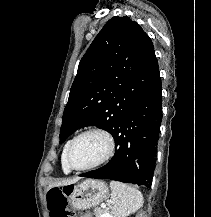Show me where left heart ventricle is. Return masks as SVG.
<instances>
[{
	"mask_svg": "<svg viewBox=\"0 0 211 217\" xmlns=\"http://www.w3.org/2000/svg\"><path fill=\"white\" fill-rule=\"evenodd\" d=\"M108 150L106 138L99 133H88L79 138L71 151V162L76 167L96 163Z\"/></svg>",
	"mask_w": 211,
	"mask_h": 217,
	"instance_id": "left-heart-ventricle-1",
	"label": "left heart ventricle"
}]
</instances>
